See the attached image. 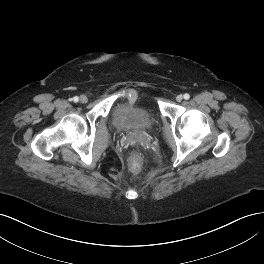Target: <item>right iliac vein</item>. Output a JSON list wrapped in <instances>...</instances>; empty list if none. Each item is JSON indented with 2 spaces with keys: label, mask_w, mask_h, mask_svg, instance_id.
I'll use <instances>...</instances> for the list:
<instances>
[{
  "label": "right iliac vein",
  "mask_w": 264,
  "mask_h": 264,
  "mask_svg": "<svg viewBox=\"0 0 264 264\" xmlns=\"http://www.w3.org/2000/svg\"><path fill=\"white\" fill-rule=\"evenodd\" d=\"M79 100H80L81 103H87L88 98L85 95H81Z\"/></svg>",
  "instance_id": "right-iliac-vein-1"
}]
</instances>
